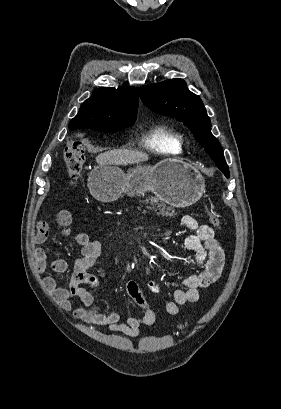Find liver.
<instances>
[{
    "mask_svg": "<svg viewBox=\"0 0 281 409\" xmlns=\"http://www.w3.org/2000/svg\"><path fill=\"white\" fill-rule=\"evenodd\" d=\"M149 154L141 152V150H127V148H116V150H108L97 154L96 162L98 164H134V162H142L148 160Z\"/></svg>",
    "mask_w": 281,
    "mask_h": 409,
    "instance_id": "liver-1",
    "label": "liver"
}]
</instances>
